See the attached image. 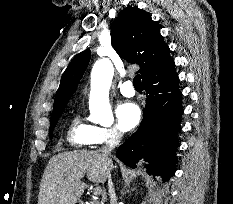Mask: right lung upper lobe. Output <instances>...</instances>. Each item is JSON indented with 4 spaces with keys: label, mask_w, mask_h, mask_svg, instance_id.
Segmentation results:
<instances>
[{
    "label": "right lung upper lobe",
    "mask_w": 233,
    "mask_h": 204,
    "mask_svg": "<svg viewBox=\"0 0 233 204\" xmlns=\"http://www.w3.org/2000/svg\"><path fill=\"white\" fill-rule=\"evenodd\" d=\"M111 43L123 59L140 66L138 72L143 80L174 63L159 26L148 12L138 7L122 10L112 26ZM90 56V51H83L68 65L55 96L52 118L62 114L87 68Z\"/></svg>",
    "instance_id": "cb5924a9"
}]
</instances>
